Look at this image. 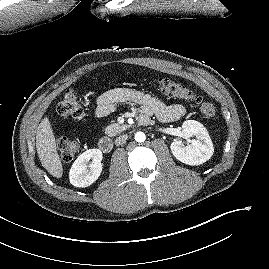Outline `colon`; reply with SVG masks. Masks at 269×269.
Returning a JSON list of instances; mask_svg holds the SVG:
<instances>
[{
	"label": "colon",
	"mask_w": 269,
	"mask_h": 269,
	"mask_svg": "<svg viewBox=\"0 0 269 269\" xmlns=\"http://www.w3.org/2000/svg\"><path fill=\"white\" fill-rule=\"evenodd\" d=\"M157 84L163 94L193 103L198 107L200 113L204 117L212 118L215 116L216 109L212 103L194 94L191 90L183 85L166 77L159 78L157 80ZM57 112L64 118L82 120L85 116L77 93L72 89L65 92L63 98L57 105ZM57 145L60 155L65 161L72 160L80 150L79 141L66 136H60L57 140Z\"/></svg>",
	"instance_id": "obj_1"
}]
</instances>
